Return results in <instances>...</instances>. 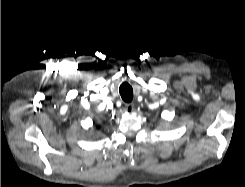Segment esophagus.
Listing matches in <instances>:
<instances>
[{"label":"esophagus","mask_w":245,"mask_h":187,"mask_svg":"<svg viewBox=\"0 0 245 187\" xmlns=\"http://www.w3.org/2000/svg\"><path fill=\"white\" fill-rule=\"evenodd\" d=\"M134 110V104L133 103H128L125 105V111L128 113H132Z\"/></svg>","instance_id":"1"}]
</instances>
